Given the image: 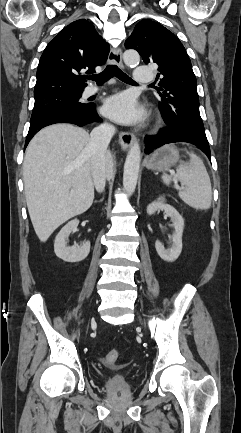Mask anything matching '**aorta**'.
Listing matches in <instances>:
<instances>
[{
	"label": "aorta",
	"instance_id": "aorta-1",
	"mask_svg": "<svg viewBox=\"0 0 241 433\" xmlns=\"http://www.w3.org/2000/svg\"><path fill=\"white\" fill-rule=\"evenodd\" d=\"M123 60L127 66L134 67L140 62V56L135 50H127L123 54ZM141 162V150L138 141H134L129 149L124 164L123 188L127 194L135 191Z\"/></svg>",
	"mask_w": 241,
	"mask_h": 433
}]
</instances>
